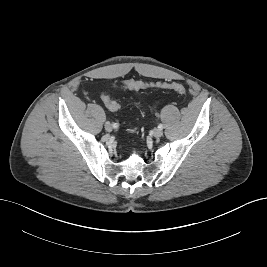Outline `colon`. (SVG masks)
Wrapping results in <instances>:
<instances>
[{
	"label": "colon",
	"instance_id": "5ec220e1",
	"mask_svg": "<svg viewBox=\"0 0 267 267\" xmlns=\"http://www.w3.org/2000/svg\"><path fill=\"white\" fill-rule=\"evenodd\" d=\"M121 85L127 89L131 90H145L148 88H160V89H168L175 91L179 94H185L186 88L180 83H157V84H148L142 81L136 80H126L121 83ZM102 101L106 104L109 110L111 111H118L120 109V104L116 101H112L110 97L103 93L101 95Z\"/></svg>",
	"mask_w": 267,
	"mask_h": 267
}]
</instances>
